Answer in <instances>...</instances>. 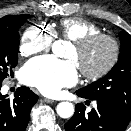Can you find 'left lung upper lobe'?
Here are the masks:
<instances>
[{
	"instance_id": "1",
	"label": "left lung upper lobe",
	"mask_w": 131,
	"mask_h": 131,
	"mask_svg": "<svg viewBox=\"0 0 131 131\" xmlns=\"http://www.w3.org/2000/svg\"><path fill=\"white\" fill-rule=\"evenodd\" d=\"M121 48L118 62L103 78L77 91L86 98L115 103L131 114V36L119 34Z\"/></svg>"
}]
</instances>
